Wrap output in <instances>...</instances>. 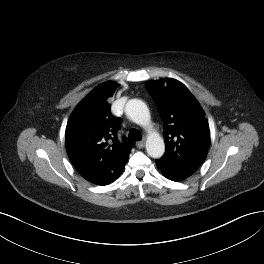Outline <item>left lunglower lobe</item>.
<instances>
[{
    "label": "left lung lower lobe",
    "mask_w": 264,
    "mask_h": 264,
    "mask_svg": "<svg viewBox=\"0 0 264 264\" xmlns=\"http://www.w3.org/2000/svg\"><path fill=\"white\" fill-rule=\"evenodd\" d=\"M156 164L162 174L172 181H182L191 176L196 170L189 167H180L169 164L161 159L156 160Z\"/></svg>",
    "instance_id": "1"
}]
</instances>
